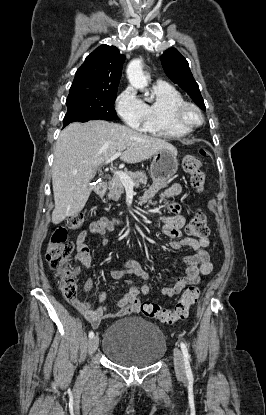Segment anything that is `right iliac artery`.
Returning a JSON list of instances; mask_svg holds the SVG:
<instances>
[{"instance_id": "obj_1", "label": "right iliac artery", "mask_w": 266, "mask_h": 415, "mask_svg": "<svg viewBox=\"0 0 266 415\" xmlns=\"http://www.w3.org/2000/svg\"><path fill=\"white\" fill-rule=\"evenodd\" d=\"M94 336V332L93 331H90L89 332V338H92Z\"/></svg>"}]
</instances>
